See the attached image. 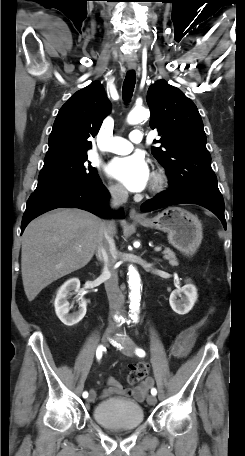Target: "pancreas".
I'll return each instance as SVG.
<instances>
[{"label":"pancreas","mask_w":245,"mask_h":456,"mask_svg":"<svg viewBox=\"0 0 245 456\" xmlns=\"http://www.w3.org/2000/svg\"><path fill=\"white\" fill-rule=\"evenodd\" d=\"M163 253V258L169 261V264L172 266H178V261L175 256V253L168 247H165Z\"/></svg>","instance_id":"obj_1"}]
</instances>
